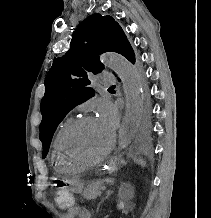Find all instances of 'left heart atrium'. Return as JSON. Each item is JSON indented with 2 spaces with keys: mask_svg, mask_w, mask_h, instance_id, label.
<instances>
[{
  "mask_svg": "<svg viewBox=\"0 0 211 218\" xmlns=\"http://www.w3.org/2000/svg\"><path fill=\"white\" fill-rule=\"evenodd\" d=\"M97 120L109 132L114 133L118 126V112L108 100H101L97 106Z\"/></svg>",
  "mask_w": 211,
  "mask_h": 218,
  "instance_id": "1",
  "label": "left heart atrium"
}]
</instances>
